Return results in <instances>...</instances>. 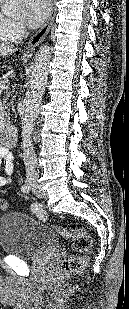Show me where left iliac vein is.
I'll use <instances>...</instances> for the list:
<instances>
[{
    "label": "left iliac vein",
    "instance_id": "obj_1",
    "mask_svg": "<svg viewBox=\"0 0 129 309\" xmlns=\"http://www.w3.org/2000/svg\"><path fill=\"white\" fill-rule=\"evenodd\" d=\"M31 185H32V192L36 195V197L42 199L46 196V192L38 184L36 177L33 179V182Z\"/></svg>",
    "mask_w": 129,
    "mask_h": 309
}]
</instances>
